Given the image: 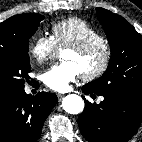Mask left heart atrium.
I'll return each mask as SVG.
<instances>
[{
  "instance_id": "39dd6f15",
  "label": "left heart atrium",
  "mask_w": 142,
  "mask_h": 142,
  "mask_svg": "<svg viewBox=\"0 0 142 142\" xmlns=\"http://www.w3.org/2000/svg\"><path fill=\"white\" fill-rule=\"evenodd\" d=\"M80 75L78 67L73 62L64 61L50 67L43 74V82L54 91L65 92Z\"/></svg>"
}]
</instances>
